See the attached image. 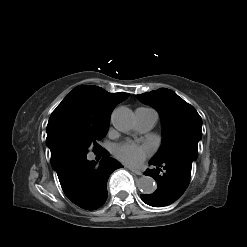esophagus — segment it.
I'll use <instances>...</instances> for the list:
<instances>
[{
  "instance_id": "34e87169",
  "label": "esophagus",
  "mask_w": 247,
  "mask_h": 247,
  "mask_svg": "<svg viewBox=\"0 0 247 247\" xmlns=\"http://www.w3.org/2000/svg\"><path fill=\"white\" fill-rule=\"evenodd\" d=\"M129 170H130L131 172L137 174V175H142V172H141V171L136 170V169H134V168H129Z\"/></svg>"
}]
</instances>
